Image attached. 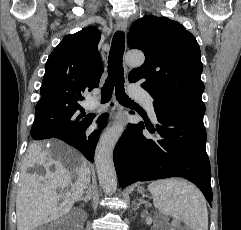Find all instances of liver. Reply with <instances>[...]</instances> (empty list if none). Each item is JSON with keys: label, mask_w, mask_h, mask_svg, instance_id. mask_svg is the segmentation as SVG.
Segmentation results:
<instances>
[{"label": "liver", "mask_w": 241, "mask_h": 230, "mask_svg": "<svg viewBox=\"0 0 241 230\" xmlns=\"http://www.w3.org/2000/svg\"><path fill=\"white\" fill-rule=\"evenodd\" d=\"M50 144L58 151L57 159L41 145L29 146L24 158L16 197L17 230H33L66 214L89 186L90 169L85 158L61 142ZM35 164L44 167V176L27 172ZM68 186L70 192L57 193L58 188ZM60 198L63 202L58 205Z\"/></svg>", "instance_id": "obj_1"}]
</instances>
